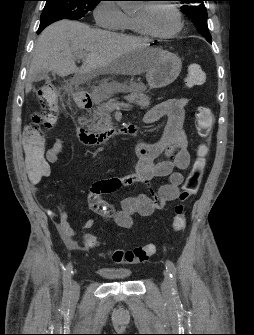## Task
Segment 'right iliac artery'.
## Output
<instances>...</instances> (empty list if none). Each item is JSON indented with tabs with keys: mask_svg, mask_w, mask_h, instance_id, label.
Segmentation results:
<instances>
[{
	"mask_svg": "<svg viewBox=\"0 0 254 335\" xmlns=\"http://www.w3.org/2000/svg\"><path fill=\"white\" fill-rule=\"evenodd\" d=\"M72 264L68 263L64 268V296L63 301L67 304L71 297V274H72Z\"/></svg>",
	"mask_w": 254,
	"mask_h": 335,
	"instance_id": "right-iliac-artery-1",
	"label": "right iliac artery"
}]
</instances>
